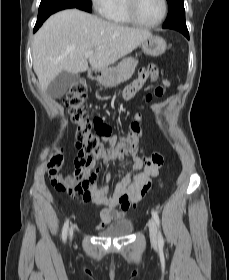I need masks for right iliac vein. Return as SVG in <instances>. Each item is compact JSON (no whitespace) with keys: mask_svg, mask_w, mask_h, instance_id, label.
<instances>
[{"mask_svg":"<svg viewBox=\"0 0 229 280\" xmlns=\"http://www.w3.org/2000/svg\"><path fill=\"white\" fill-rule=\"evenodd\" d=\"M70 236L71 237L73 236V229L72 228L70 229Z\"/></svg>","mask_w":229,"mask_h":280,"instance_id":"right-iliac-vein-1","label":"right iliac vein"}]
</instances>
